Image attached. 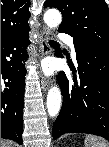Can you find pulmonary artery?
I'll return each mask as SVG.
<instances>
[{
  "label": "pulmonary artery",
  "instance_id": "obj_1",
  "mask_svg": "<svg viewBox=\"0 0 109 147\" xmlns=\"http://www.w3.org/2000/svg\"><path fill=\"white\" fill-rule=\"evenodd\" d=\"M59 39L70 47L72 55L75 56L76 53H75L73 38L68 34H61L59 36Z\"/></svg>",
  "mask_w": 109,
  "mask_h": 147
}]
</instances>
